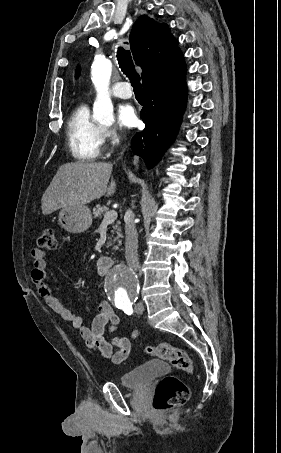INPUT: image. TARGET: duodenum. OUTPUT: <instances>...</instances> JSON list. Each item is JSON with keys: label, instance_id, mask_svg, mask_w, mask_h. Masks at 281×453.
<instances>
[{"label": "duodenum", "instance_id": "1", "mask_svg": "<svg viewBox=\"0 0 281 453\" xmlns=\"http://www.w3.org/2000/svg\"><path fill=\"white\" fill-rule=\"evenodd\" d=\"M114 262L111 257L101 256L97 260V271L101 276L106 275L112 268Z\"/></svg>", "mask_w": 281, "mask_h": 453}]
</instances>
